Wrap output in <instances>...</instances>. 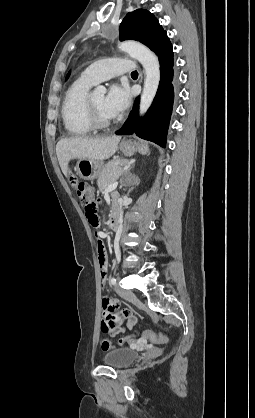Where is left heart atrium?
I'll return each mask as SVG.
<instances>
[{
    "mask_svg": "<svg viewBox=\"0 0 255 418\" xmlns=\"http://www.w3.org/2000/svg\"><path fill=\"white\" fill-rule=\"evenodd\" d=\"M130 93L126 86L112 85L104 98L103 109L109 118H115L127 109Z\"/></svg>",
    "mask_w": 255,
    "mask_h": 418,
    "instance_id": "1",
    "label": "left heart atrium"
}]
</instances>
